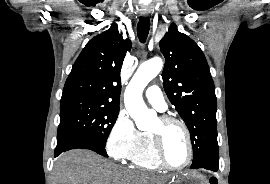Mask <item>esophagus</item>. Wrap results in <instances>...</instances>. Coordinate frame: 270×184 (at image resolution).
Returning a JSON list of instances; mask_svg holds the SVG:
<instances>
[{
	"instance_id": "obj_1",
	"label": "esophagus",
	"mask_w": 270,
	"mask_h": 184,
	"mask_svg": "<svg viewBox=\"0 0 270 184\" xmlns=\"http://www.w3.org/2000/svg\"><path fill=\"white\" fill-rule=\"evenodd\" d=\"M150 13V10L147 9V8H141L140 9V14L143 16V17H147Z\"/></svg>"
}]
</instances>
